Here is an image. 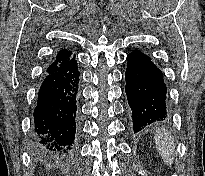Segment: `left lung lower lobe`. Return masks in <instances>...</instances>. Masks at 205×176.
<instances>
[{
    "label": "left lung lower lobe",
    "mask_w": 205,
    "mask_h": 176,
    "mask_svg": "<svg viewBox=\"0 0 205 176\" xmlns=\"http://www.w3.org/2000/svg\"><path fill=\"white\" fill-rule=\"evenodd\" d=\"M125 80L134 132L153 122L165 120L168 116L167 87L163 73L150 57L138 50L131 52L127 56Z\"/></svg>",
    "instance_id": "obj_1"
}]
</instances>
